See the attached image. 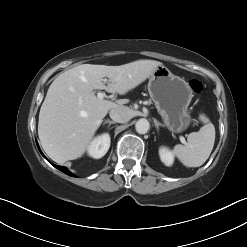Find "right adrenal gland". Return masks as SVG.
Returning a JSON list of instances; mask_svg holds the SVG:
<instances>
[{
	"mask_svg": "<svg viewBox=\"0 0 247 247\" xmlns=\"http://www.w3.org/2000/svg\"><path fill=\"white\" fill-rule=\"evenodd\" d=\"M115 121H111V120H105L103 125L108 124V128L110 127L111 124H115Z\"/></svg>",
	"mask_w": 247,
	"mask_h": 247,
	"instance_id": "1",
	"label": "right adrenal gland"
}]
</instances>
